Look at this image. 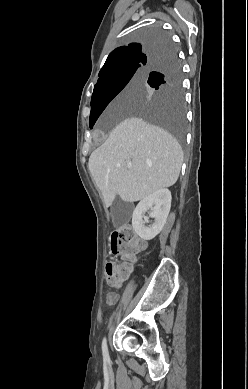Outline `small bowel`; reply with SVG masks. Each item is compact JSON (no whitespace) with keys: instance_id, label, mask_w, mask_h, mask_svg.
<instances>
[{"instance_id":"1","label":"small bowel","mask_w":248,"mask_h":389,"mask_svg":"<svg viewBox=\"0 0 248 389\" xmlns=\"http://www.w3.org/2000/svg\"><path fill=\"white\" fill-rule=\"evenodd\" d=\"M118 294L115 292H109L106 297V303L110 306L114 305L118 301Z\"/></svg>"}]
</instances>
